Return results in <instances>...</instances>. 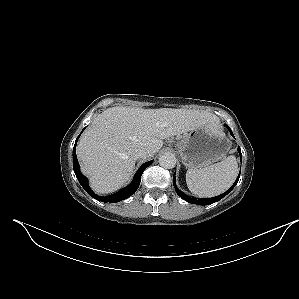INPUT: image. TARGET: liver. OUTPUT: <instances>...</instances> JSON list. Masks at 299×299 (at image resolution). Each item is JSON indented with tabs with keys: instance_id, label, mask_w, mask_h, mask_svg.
<instances>
[{
	"instance_id": "obj_1",
	"label": "liver",
	"mask_w": 299,
	"mask_h": 299,
	"mask_svg": "<svg viewBox=\"0 0 299 299\" xmlns=\"http://www.w3.org/2000/svg\"><path fill=\"white\" fill-rule=\"evenodd\" d=\"M217 123L218 118L207 111L112 107L99 114L84 132L77 156L92 189L107 194L129 180L135 154L141 149L150 150L152 157L164 139Z\"/></svg>"
}]
</instances>
